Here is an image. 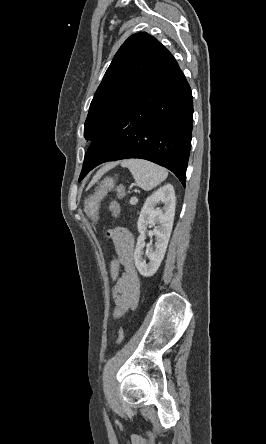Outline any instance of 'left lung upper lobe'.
<instances>
[{"instance_id": "1", "label": "left lung upper lobe", "mask_w": 266, "mask_h": 444, "mask_svg": "<svg viewBox=\"0 0 266 444\" xmlns=\"http://www.w3.org/2000/svg\"><path fill=\"white\" fill-rule=\"evenodd\" d=\"M178 67L172 54L147 33L131 35L119 48L97 88L84 125L93 141L121 111Z\"/></svg>"}]
</instances>
